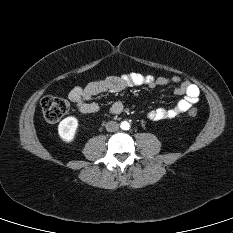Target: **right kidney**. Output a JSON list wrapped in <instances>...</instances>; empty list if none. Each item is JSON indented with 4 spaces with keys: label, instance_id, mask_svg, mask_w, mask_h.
Instances as JSON below:
<instances>
[{
    "label": "right kidney",
    "instance_id": "obj_1",
    "mask_svg": "<svg viewBox=\"0 0 233 233\" xmlns=\"http://www.w3.org/2000/svg\"><path fill=\"white\" fill-rule=\"evenodd\" d=\"M78 128V120L73 116H69L63 119L58 125V134L60 138L69 143L75 138L76 131Z\"/></svg>",
    "mask_w": 233,
    "mask_h": 233
}]
</instances>
